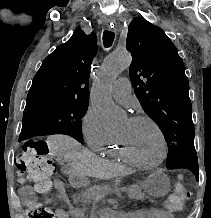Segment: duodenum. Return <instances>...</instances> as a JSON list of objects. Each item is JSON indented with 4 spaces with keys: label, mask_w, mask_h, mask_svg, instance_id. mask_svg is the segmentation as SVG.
I'll list each match as a JSON object with an SVG mask.
<instances>
[{
    "label": "duodenum",
    "mask_w": 211,
    "mask_h": 218,
    "mask_svg": "<svg viewBox=\"0 0 211 218\" xmlns=\"http://www.w3.org/2000/svg\"><path fill=\"white\" fill-rule=\"evenodd\" d=\"M83 182V177L79 173H72L69 176V183L72 187H79ZM99 218H138V211H125L113 209H100L97 212Z\"/></svg>",
    "instance_id": "1"
}]
</instances>
